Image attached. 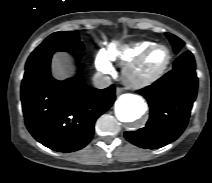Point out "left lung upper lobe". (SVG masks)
Instances as JSON below:
<instances>
[{
  "mask_svg": "<svg viewBox=\"0 0 212 183\" xmlns=\"http://www.w3.org/2000/svg\"><path fill=\"white\" fill-rule=\"evenodd\" d=\"M166 36L169 38L170 42L172 43L174 52L178 53L180 49L183 47L184 42L173 34L166 33Z\"/></svg>",
  "mask_w": 212,
  "mask_h": 183,
  "instance_id": "1",
  "label": "left lung upper lobe"
}]
</instances>
